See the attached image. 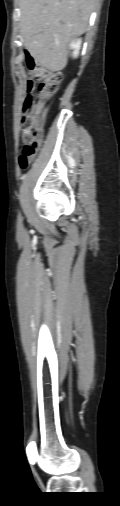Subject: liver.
I'll return each instance as SVG.
<instances>
[{
	"mask_svg": "<svg viewBox=\"0 0 120 506\" xmlns=\"http://www.w3.org/2000/svg\"><path fill=\"white\" fill-rule=\"evenodd\" d=\"M19 7L27 51L52 71L64 69L67 45L87 30L95 0H19Z\"/></svg>",
	"mask_w": 120,
	"mask_h": 506,
	"instance_id": "obj_1",
	"label": "liver"
}]
</instances>
